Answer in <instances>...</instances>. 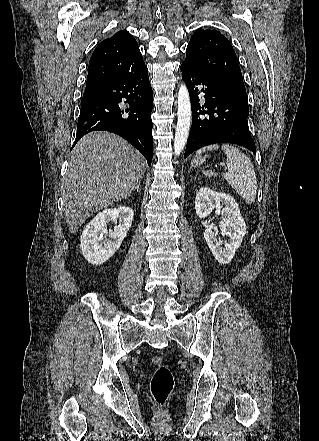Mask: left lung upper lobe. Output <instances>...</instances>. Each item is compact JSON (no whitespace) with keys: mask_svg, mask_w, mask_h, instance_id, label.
<instances>
[{"mask_svg":"<svg viewBox=\"0 0 319 441\" xmlns=\"http://www.w3.org/2000/svg\"><path fill=\"white\" fill-rule=\"evenodd\" d=\"M184 62L224 80L247 97L238 58L231 43L220 32L197 30L187 46Z\"/></svg>","mask_w":319,"mask_h":441,"instance_id":"left-lung-upper-lobe-1","label":"left lung upper lobe"}]
</instances>
